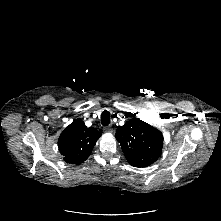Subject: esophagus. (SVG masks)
Masks as SVG:
<instances>
[{
  "label": "esophagus",
  "instance_id": "esophagus-1",
  "mask_svg": "<svg viewBox=\"0 0 221 221\" xmlns=\"http://www.w3.org/2000/svg\"><path fill=\"white\" fill-rule=\"evenodd\" d=\"M104 131H105V132H112L113 129H112L111 126H106V127H104Z\"/></svg>",
  "mask_w": 221,
  "mask_h": 221
}]
</instances>
